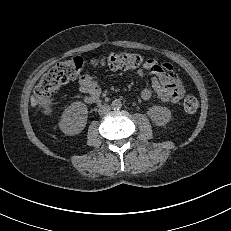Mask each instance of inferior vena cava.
I'll list each match as a JSON object with an SVG mask.
<instances>
[{
  "label": "inferior vena cava",
  "mask_w": 231,
  "mask_h": 231,
  "mask_svg": "<svg viewBox=\"0 0 231 231\" xmlns=\"http://www.w3.org/2000/svg\"><path fill=\"white\" fill-rule=\"evenodd\" d=\"M110 110H111V107L109 105H106V104L101 105L99 107V114L100 115H106V114H108L110 112Z\"/></svg>",
  "instance_id": "602c4592"
}]
</instances>
